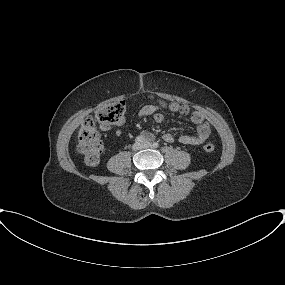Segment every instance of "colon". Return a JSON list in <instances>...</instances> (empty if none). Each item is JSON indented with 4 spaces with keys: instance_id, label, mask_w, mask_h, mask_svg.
<instances>
[{
    "instance_id": "obj_1",
    "label": "colon",
    "mask_w": 285,
    "mask_h": 285,
    "mask_svg": "<svg viewBox=\"0 0 285 285\" xmlns=\"http://www.w3.org/2000/svg\"><path fill=\"white\" fill-rule=\"evenodd\" d=\"M169 108L173 111L187 112V107L178 104H170ZM125 106L122 101L107 104L99 108L94 117L89 116L83 121L77 135L78 151L84 156L85 162L89 166H96L104 152V145L98 131L99 126H110L117 123L123 117ZM203 116L200 113H194L193 121H200ZM214 144L204 145L206 152H213Z\"/></svg>"
}]
</instances>
